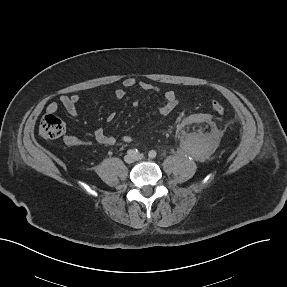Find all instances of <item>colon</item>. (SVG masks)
<instances>
[{"instance_id": "obj_1", "label": "colon", "mask_w": 287, "mask_h": 287, "mask_svg": "<svg viewBox=\"0 0 287 287\" xmlns=\"http://www.w3.org/2000/svg\"><path fill=\"white\" fill-rule=\"evenodd\" d=\"M212 111L217 115L225 112V107L220 102H212ZM65 132V126L61 119L50 113L45 115L39 124V133L46 139H57Z\"/></svg>"}]
</instances>
